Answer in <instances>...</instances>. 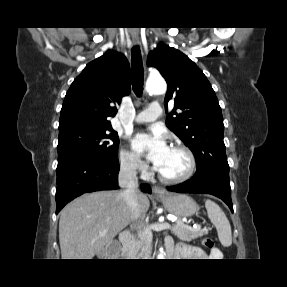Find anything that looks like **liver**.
I'll return each mask as SVG.
<instances>
[{
  "instance_id": "obj_1",
  "label": "liver",
  "mask_w": 287,
  "mask_h": 287,
  "mask_svg": "<svg viewBox=\"0 0 287 287\" xmlns=\"http://www.w3.org/2000/svg\"><path fill=\"white\" fill-rule=\"evenodd\" d=\"M140 216L149 209L148 197L137 193ZM122 192L100 191L75 199L60 213L59 242L62 259H92L131 221Z\"/></svg>"
}]
</instances>
